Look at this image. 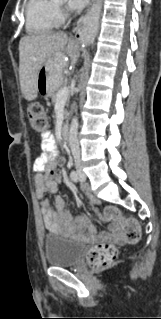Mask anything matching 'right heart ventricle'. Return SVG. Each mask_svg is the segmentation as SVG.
<instances>
[{
    "label": "right heart ventricle",
    "instance_id": "e07e8e85",
    "mask_svg": "<svg viewBox=\"0 0 161 319\" xmlns=\"http://www.w3.org/2000/svg\"><path fill=\"white\" fill-rule=\"evenodd\" d=\"M60 21V8L53 0H29L26 7V28L29 34L50 32Z\"/></svg>",
    "mask_w": 161,
    "mask_h": 319
}]
</instances>
